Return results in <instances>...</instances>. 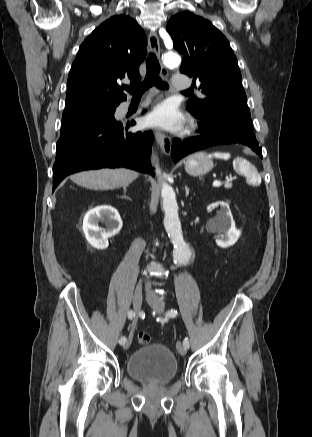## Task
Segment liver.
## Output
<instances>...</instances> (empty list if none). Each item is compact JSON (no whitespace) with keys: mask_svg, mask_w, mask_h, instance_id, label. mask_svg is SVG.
Returning <instances> with one entry per match:
<instances>
[{"mask_svg":"<svg viewBox=\"0 0 312 437\" xmlns=\"http://www.w3.org/2000/svg\"><path fill=\"white\" fill-rule=\"evenodd\" d=\"M138 177L134 170L126 168L99 169L74 174L70 179L79 186L92 190H112L127 187Z\"/></svg>","mask_w":312,"mask_h":437,"instance_id":"1","label":"liver"}]
</instances>
